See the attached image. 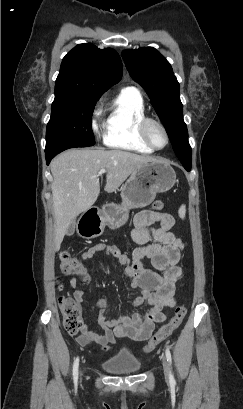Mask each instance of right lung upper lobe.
<instances>
[{
  "mask_svg": "<svg viewBox=\"0 0 243 409\" xmlns=\"http://www.w3.org/2000/svg\"><path fill=\"white\" fill-rule=\"evenodd\" d=\"M122 72L120 56L114 49L79 44L63 58L55 89L100 97L121 80Z\"/></svg>",
  "mask_w": 243,
  "mask_h": 409,
  "instance_id": "obj_1",
  "label": "right lung upper lobe"
}]
</instances>
